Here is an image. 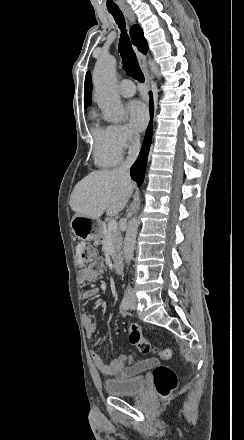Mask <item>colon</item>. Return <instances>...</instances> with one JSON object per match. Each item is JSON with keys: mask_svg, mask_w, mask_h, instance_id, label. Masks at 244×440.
<instances>
[{"mask_svg": "<svg viewBox=\"0 0 244 440\" xmlns=\"http://www.w3.org/2000/svg\"><path fill=\"white\" fill-rule=\"evenodd\" d=\"M97 256L96 249L89 248L84 241H79L75 244V263L78 270H84L89 262H94L97 259ZM130 329L129 341L136 345L141 353L147 354L151 351H156L155 346L143 336L137 324H131ZM158 354L163 360H171L174 357L170 347L164 348ZM153 379L156 392L163 399L168 398L177 386L176 374L166 366L157 367Z\"/></svg>", "mask_w": 244, "mask_h": 440, "instance_id": "1", "label": "colon"}]
</instances>
